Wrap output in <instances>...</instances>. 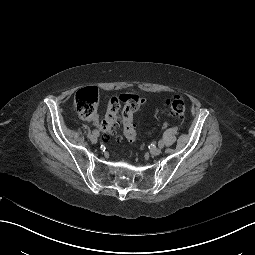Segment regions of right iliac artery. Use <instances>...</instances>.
<instances>
[{
	"label": "right iliac artery",
	"instance_id": "1",
	"mask_svg": "<svg viewBox=\"0 0 255 255\" xmlns=\"http://www.w3.org/2000/svg\"><path fill=\"white\" fill-rule=\"evenodd\" d=\"M93 134H95L96 136H99V132H98V130H93Z\"/></svg>",
	"mask_w": 255,
	"mask_h": 255
}]
</instances>
